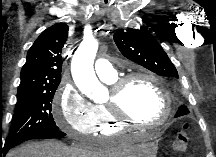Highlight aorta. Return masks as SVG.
<instances>
[{"label": "aorta", "mask_w": 216, "mask_h": 157, "mask_svg": "<svg viewBox=\"0 0 216 157\" xmlns=\"http://www.w3.org/2000/svg\"><path fill=\"white\" fill-rule=\"evenodd\" d=\"M97 50V40L94 38L85 39L76 50L71 63L72 77L76 86L93 101H99L106 94V90L98 81L93 68Z\"/></svg>", "instance_id": "aorta-1"}]
</instances>
